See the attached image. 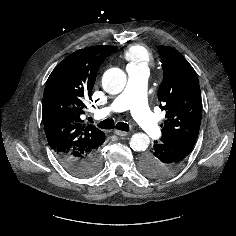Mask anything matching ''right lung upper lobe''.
Listing matches in <instances>:
<instances>
[{
  "label": "right lung upper lobe",
  "instance_id": "1",
  "mask_svg": "<svg viewBox=\"0 0 236 236\" xmlns=\"http://www.w3.org/2000/svg\"><path fill=\"white\" fill-rule=\"evenodd\" d=\"M116 46H92L66 57L50 74L42 116L49 146L59 159H86L105 141L104 132L81 119L96 73Z\"/></svg>",
  "mask_w": 236,
  "mask_h": 236
}]
</instances>
